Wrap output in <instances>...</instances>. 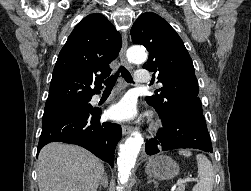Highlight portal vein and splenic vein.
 Wrapping results in <instances>:
<instances>
[{
  "mask_svg": "<svg viewBox=\"0 0 251 191\" xmlns=\"http://www.w3.org/2000/svg\"><path fill=\"white\" fill-rule=\"evenodd\" d=\"M195 181H196L195 177H192L191 179H190V177H187V179H178V181L176 183V186L183 185V183H185V184H194Z\"/></svg>",
  "mask_w": 251,
  "mask_h": 191,
  "instance_id": "18ae733b",
  "label": "portal vein and splenic vein"
}]
</instances>
